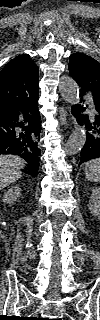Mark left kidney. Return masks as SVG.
Listing matches in <instances>:
<instances>
[{
  "label": "left kidney",
  "instance_id": "obj_1",
  "mask_svg": "<svg viewBox=\"0 0 100 320\" xmlns=\"http://www.w3.org/2000/svg\"><path fill=\"white\" fill-rule=\"evenodd\" d=\"M90 213L95 216H100V189L95 188L92 190V194L88 204Z\"/></svg>",
  "mask_w": 100,
  "mask_h": 320
}]
</instances>
